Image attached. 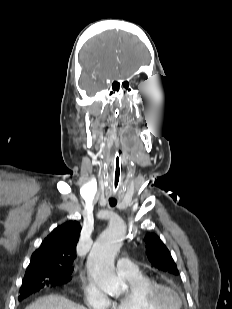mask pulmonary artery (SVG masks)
Masks as SVG:
<instances>
[{
	"instance_id": "obj_1",
	"label": "pulmonary artery",
	"mask_w": 232,
	"mask_h": 309,
	"mask_svg": "<svg viewBox=\"0 0 232 309\" xmlns=\"http://www.w3.org/2000/svg\"><path fill=\"white\" fill-rule=\"evenodd\" d=\"M117 270L124 277L134 276L140 272L139 268L127 258L117 260Z\"/></svg>"
}]
</instances>
